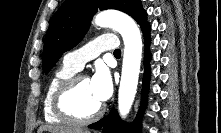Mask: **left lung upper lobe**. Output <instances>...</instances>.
<instances>
[{
  "label": "left lung upper lobe",
  "mask_w": 221,
  "mask_h": 133,
  "mask_svg": "<svg viewBox=\"0 0 221 133\" xmlns=\"http://www.w3.org/2000/svg\"><path fill=\"white\" fill-rule=\"evenodd\" d=\"M98 8L120 10L133 17L141 28L148 23L140 0H66L54 14L45 37L42 58L45 73L65 51L81 41Z\"/></svg>",
  "instance_id": "obj_1"
}]
</instances>
